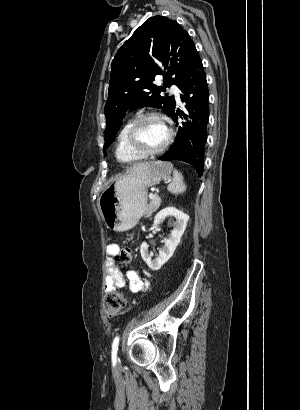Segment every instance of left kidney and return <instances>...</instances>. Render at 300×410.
<instances>
[{
    "instance_id": "5707ae66",
    "label": "left kidney",
    "mask_w": 300,
    "mask_h": 410,
    "mask_svg": "<svg viewBox=\"0 0 300 410\" xmlns=\"http://www.w3.org/2000/svg\"><path fill=\"white\" fill-rule=\"evenodd\" d=\"M166 217H172L176 220L174 229L170 232V237L164 239V247L159 250V254L152 259V254L148 251V244L143 242L140 247L141 257L152 270H159L173 255L176 247L180 243L181 237L186 229L189 216L183 211L174 207H167L159 211L155 218L154 224L159 226Z\"/></svg>"
}]
</instances>
